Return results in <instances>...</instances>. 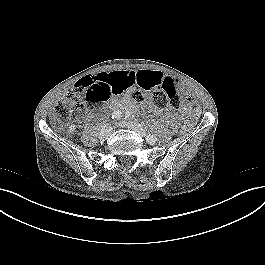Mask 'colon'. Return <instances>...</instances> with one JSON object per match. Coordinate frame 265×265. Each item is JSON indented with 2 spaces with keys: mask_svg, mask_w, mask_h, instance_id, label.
Returning <instances> with one entry per match:
<instances>
[{
  "mask_svg": "<svg viewBox=\"0 0 265 265\" xmlns=\"http://www.w3.org/2000/svg\"><path fill=\"white\" fill-rule=\"evenodd\" d=\"M109 78L106 76H85L78 80L73 89L53 107L51 116L55 121H67L79 99L86 102L105 101L112 91L108 85ZM182 89V82L178 78L166 77L159 88L153 90L151 95L152 104L159 109L167 106L174 108L183 105L188 113L195 114L201 110V101L189 90ZM145 92L138 89L132 93V99L136 104H141L145 99Z\"/></svg>",
  "mask_w": 265,
  "mask_h": 265,
  "instance_id": "obj_1",
  "label": "colon"
}]
</instances>
